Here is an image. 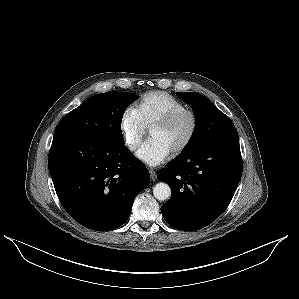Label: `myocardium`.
Segmentation results:
<instances>
[{
  "label": "myocardium",
  "instance_id": "myocardium-1",
  "mask_svg": "<svg viewBox=\"0 0 299 299\" xmlns=\"http://www.w3.org/2000/svg\"><path fill=\"white\" fill-rule=\"evenodd\" d=\"M184 118H188L190 120V123H191L190 130H189L188 135L184 139V141L176 149H174L172 151L173 156H178V155L182 154L183 152H185L187 150V148L193 142V140L196 136V133H197L198 123H199L196 113L192 110L186 109L184 111L175 113L173 115H170V116L156 122L151 127V130L154 128L167 129V128L174 126L175 124H177Z\"/></svg>",
  "mask_w": 299,
  "mask_h": 299
}]
</instances>
